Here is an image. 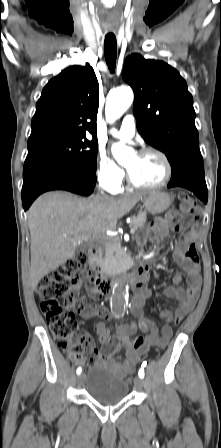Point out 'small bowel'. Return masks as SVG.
<instances>
[{"label": "small bowel", "mask_w": 221, "mask_h": 448, "mask_svg": "<svg viewBox=\"0 0 221 448\" xmlns=\"http://www.w3.org/2000/svg\"><path fill=\"white\" fill-rule=\"evenodd\" d=\"M181 218L182 214L171 210L165 215L164 219H155L151 225L149 240L157 245L163 244L170 232L175 229V224L182 223ZM194 234L195 232L186 234L175 244L173 261L185 273L187 286L181 288L183 277L175 275L172 278V285L164 289V294L177 300L178 304L174 313L169 310L161 311L160 318L164 322L161 332H159L155 323L145 315L144 308L151 291L142 285L136 288L131 302V311L138 319V323L126 322L118 328L114 336H111L105 325L98 322L96 330L102 349L90 348L91 360L108 366L121 376H128L150 348L164 349L167 346L173 334V322L176 319L182 320L192 310L202 284L199 265L189 262L184 254L185 249L193 240ZM142 272L145 279L147 276L146 269L143 268ZM79 292L80 286H76L67 295L66 305L68 308L75 310L82 318L110 315L109 311L99 304H87L83 299H78L77 294ZM87 293L93 298L99 297L93 286L87 287ZM137 329L147 334L144 344L139 348L135 347V342L130 339V336ZM120 349L125 350L124 358L115 357Z\"/></svg>", "instance_id": "obj_1"}]
</instances>
